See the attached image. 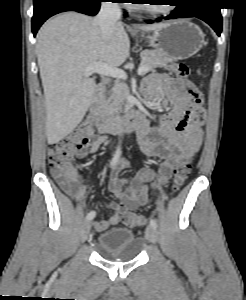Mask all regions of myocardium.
<instances>
[{
	"mask_svg": "<svg viewBox=\"0 0 246 300\" xmlns=\"http://www.w3.org/2000/svg\"><path fill=\"white\" fill-rule=\"evenodd\" d=\"M142 9L145 11H148L149 13L155 14V15H168L173 12V10L175 9V5L170 4L165 9H153V8H150V6L143 5Z\"/></svg>",
	"mask_w": 246,
	"mask_h": 300,
	"instance_id": "obj_1",
	"label": "myocardium"
}]
</instances>
